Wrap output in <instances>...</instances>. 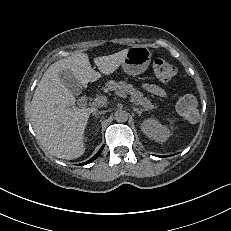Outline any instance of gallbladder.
Listing matches in <instances>:
<instances>
[{"label": "gallbladder", "mask_w": 231, "mask_h": 231, "mask_svg": "<svg viewBox=\"0 0 231 231\" xmlns=\"http://www.w3.org/2000/svg\"><path fill=\"white\" fill-rule=\"evenodd\" d=\"M61 82L68 88V90L74 94L79 95L82 92V86L80 81L73 75L70 70L62 69L59 72Z\"/></svg>", "instance_id": "1"}]
</instances>
